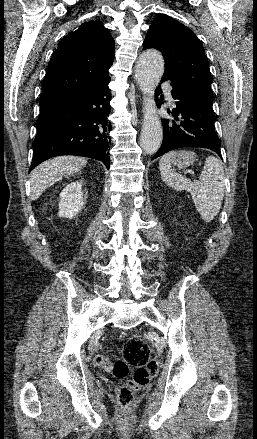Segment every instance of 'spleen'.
Masks as SVG:
<instances>
[{
	"label": "spleen",
	"mask_w": 257,
	"mask_h": 439,
	"mask_svg": "<svg viewBox=\"0 0 257 439\" xmlns=\"http://www.w3.org/2000/svg\"><path fill=\"white\" fill-rule=\"evenodd\" d=\"M175 153L169 152L160 159L159 169L163 181L172 188L190 192L201 218L205 222H211L219 213L225 193V175L221 161L214 156H208L199 182L192 183L172 170L171 163Z\"/></svg>",
	"instance_id": "spleen-1"
}]
</instances>
